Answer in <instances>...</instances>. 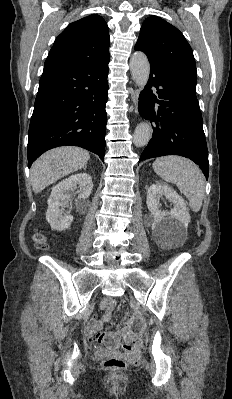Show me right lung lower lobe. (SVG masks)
Masks as SVG:
<instances>
[{
	"label": "right lung lower lobe",
	"instance_id": "obj_1",
	"mask_svg": "<svg viewBox=\"0 0 232 399\" xmlns=\"http://www.w3.org/2000/svg\"><path fill=\"white\" fill-rule=\"evenodd\" d=\"M109 58L70 66H44L31 117L28 166L63 145L85 148L104 161Z\"/></svg>",
	"mask_w": 232,
	"mask_h": 399
}]
</instances>
